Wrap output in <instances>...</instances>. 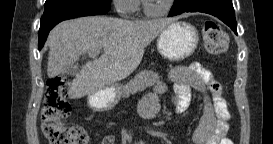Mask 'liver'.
Returning a JSON list of instances; mask_svg holds the SVG:
<instances>
[{
    "instance_id": "obj_1",
    "label": "liver",
    "mask_w": 273,
    "mask_h": 144,
    "mask_svg": "<svg viewBox=\"0 0 273 144\" xmlns=\"http://www.w3.org/2000/svg\"><path fill=\"white\" fill-rule=\"evenodd\" d=\"M173 18L152 20L90 16L59 23L48 36V77L67 73L82 54L103 49L86 63L68 91L71 99L109 88L128 77L140 64L144 49Z\"/></svg>"
}]
</instances>
